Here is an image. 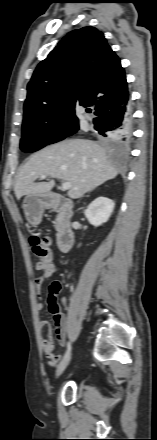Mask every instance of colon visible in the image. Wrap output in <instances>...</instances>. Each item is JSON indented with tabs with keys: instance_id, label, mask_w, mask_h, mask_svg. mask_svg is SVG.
Wrapping results in <instances>:
<instances>
[{
	"instance_id": "1",
	"label": "colon",
	"mask_w": 157,
	"mask_h": 440,
	"mask_svg": "<svg viewBox=\"0 0 157 440\" xmlns=\"http://www.w3.org/2000/svg\"><path fill=\"white\" fill-rule=\"evenodd\" d=\"M30 244L34 254L39 258V262L47 263L51 261V252L48 248V239L39 235H33L30 238ZM61 289V284L55 281L48 288V305L51 309H57V295Z\"/></svg>"
}]
</instances>
